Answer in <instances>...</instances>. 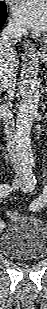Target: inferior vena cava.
<instances>
[{
    "mask_svg": "<svg viewBox=\"0 0 47 309\" xmlns=\"http://www.w3.org/2000/svg\"><path fill=\"white\" fill-rule=\"evenodd\" d=\"M26 30L18 23L9 21L8 25L0 33V51L2 54L3 65L0 68V89L7 92V97L1 106V117L5 122L8 151L12 161L18 159L17 149L15 147V140L13 135L14 119L10 110L12 106L11 100L15 94L16 73L8 66L5 59H12L15 57L16 52L14 45L20 42L22 35Z\"/></svg>",
    "mask_w": 47,
    "mask_h": 309,
    "instance_id": "602c4592",
    "label": "inferior vena cava"
}]
</instances>
